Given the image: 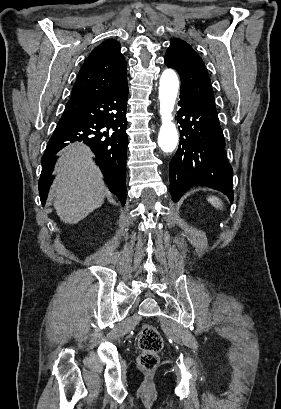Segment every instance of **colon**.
<instances>
[{"label": "colon", "instance_id": "5ec220e1", "mask_svg": "<svg viewBox=\"0 0 281 409\" xmlns=\"http://www.w3.org/2000/svg\"><path fill=\"white\" fill-rule=\"evenodd\" d=\"M138 346L142 351L138 357V363L144 370H153L159 363L158 353L164 347L161 334L149 325H143L138 336Z\"/></svg>", "mask_w": 281, "mask_h": 409}]
</instances>
